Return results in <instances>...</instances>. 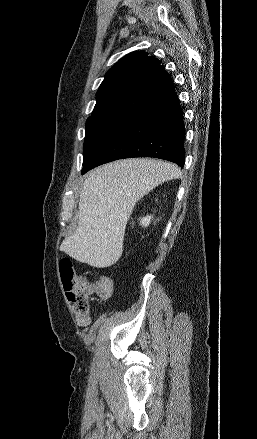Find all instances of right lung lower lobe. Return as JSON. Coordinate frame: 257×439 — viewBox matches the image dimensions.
Wrapping results in <instances>:
<instances>
[{
  "instance_id": "obj_1",
  "label": "right lung lower lobe",
  "mask_w": 257,
  "mask_h": 439,
  "mask_svg": "<svg viewBox=\"0 0 257 439\" xmlns=\"http://www.w3.org/2000/svg\"><path fill=\"white\" fill-rule=\"evenodd\" d=\"M175 91L127 118L83 166L82 174L122 158L156 157L183 167L185 129Z\"/></svg>"
}]
</instances>
